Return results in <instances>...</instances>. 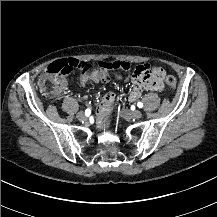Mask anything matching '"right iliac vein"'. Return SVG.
Wrapping results in <instances>:
<instances>
[{"label":"right iliac vein","mask_w":217,"mask_h":217,"mask_svg":"<svg viewBox=\"0 0 217 217\" xmlns=\"http://www.w3.org/2000/svg\"><path fill=\"white\" fill-rule=\"evenodd\" d=\"M76 117L78 118V120L83 121L86 119V116L84 115L83 112H78Z\"/></svg>","instance_id":"1"}]
</instances>
